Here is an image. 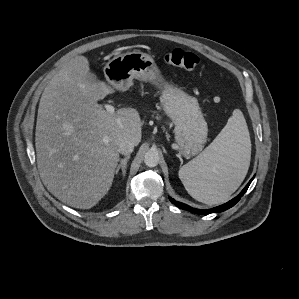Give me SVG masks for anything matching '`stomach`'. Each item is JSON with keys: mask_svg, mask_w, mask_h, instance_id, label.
<instances>
[{"mask_svg": "<svg viewBox=\"0 0 299 299\" xmlns=\"http://www.w3.org/2000/svg\"><path fill=\"white\" fill-rule=\"evenodd\" d=\"M104 75L118 90H127L133 79L150 82L161 89L160 102L174 124L175 141L186 158L197 155L207 140L208 127L196 98L164 81L154 59L147 53L119 54L106 63Z\"/></svg>", "mask_w": 299, "mask_h": 299, "instance_id": "obj_1", "label": "stomach"}]
</instances>
